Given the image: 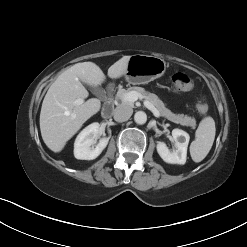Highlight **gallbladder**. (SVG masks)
Listing matches in <instances>:
<instances>
[{"mask_svg":"<svg viewBox=\"0 0 247 247\" xmlns=\"http://www.w3.org/2000/svg\"><path fill=\"white\" fill-rule=\"evenodd\" d=\"M91 89H92V92L95 94V95H100L102 93V90L100 87L98 86H90Z\"/></svg>","mask_w":247,"mask_h":247,"instance_id":"1","label":"gallbladder"}]
</instances>
